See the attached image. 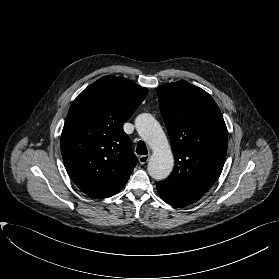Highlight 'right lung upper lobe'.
I'll use <instances>...</instances> for the list:
<instances>
[{
	"label": "right lung upper lobe",
	"instance_id": "cb5924a9",
	"mask_svg": "<svg viewBox=\"0 0 279 279\" xmlns=\"http://www.w3.org/2000/svg\"><path fill=\"white\" fill-rule=\"evenodd\" d=\"M147 93L126 78L108 75L74 100L61 135V153L69 176L85 194L108 198L127 183L137 158L123 124Z\"/></svg>",
	"mask_w": 279,
	"mask_h": 279
}]
</instances>
